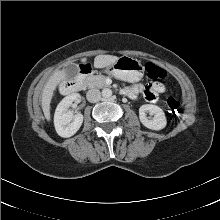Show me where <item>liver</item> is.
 <instances>
[{
  "label": "liver",
  "instance_id": "1",
  "mask_svg": "<svg viewBox=\"0 0 220 220\" xmlns=\"http://www.w3.org/2000/svg\"><path fill=\"white\" fill-rule=\"evenodd\" d=\"M119 57L113 55H97L94 59V68L101 69L108 67L115 63ZM87 61L86 58L81 59L82 63ZM67 78L65 69L55 70L53 75L49 78L42 91V110L47 121H50V103L54 95V91L58 86L63 84Z\"/></svg>",
  "mask_w": 220,
  "mask_h": 220
}]
</instances>
